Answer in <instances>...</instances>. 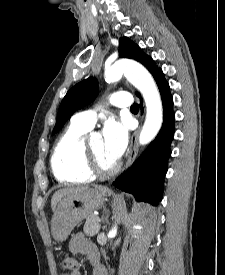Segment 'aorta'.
Wrapping results in <instances>:
<instances>
[{
    "label": "aorta",
    "instance_id": "1",
    "mask_svg": "<svg viewBox=\"0 0 225 275\" xmlns=\"http://www.w3.org/2000/svg\"><path fill=\"white\" fill-rule=\"evenodd\" d=\"M124 75L142 94L146 104V119L139 136L141 145L148 144L158 134L163 123L162 101L151 74L142 65L133 61H118L105 70V81L116 82ZM116 226L110 234L115 236Z\"/></svg>",
    "mask_w": 225,
    "mask_h": 275
}]
</instances>
